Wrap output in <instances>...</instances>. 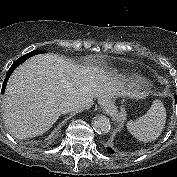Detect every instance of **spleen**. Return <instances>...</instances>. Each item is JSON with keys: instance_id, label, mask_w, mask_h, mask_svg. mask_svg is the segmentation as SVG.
Here are the masks:
<instances>
[{"instance_id": "3e777b00", "label": "spleen", "mask_w": 177, "mask_h": 177, "mask_svg": "<svg viewBox=\"0 0 177 177\" xmlns=\"http://www.w3.org/2000/svg\"><path fill=\"white\" fill-rule=\"evenodd\" d=\"M166 122V110L160 100H154L147 113L136 120L127 122L128 131L142 142L157 139Z\"/></svg>"}]
</instances>
